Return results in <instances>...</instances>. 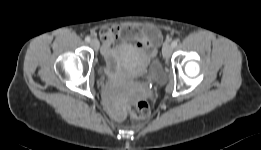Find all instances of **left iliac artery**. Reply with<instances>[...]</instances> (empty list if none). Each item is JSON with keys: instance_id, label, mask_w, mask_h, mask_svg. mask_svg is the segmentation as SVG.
Returning a JSON list of instances; mask_svg holds the SVG:
<instances>
[{"instance_id": "left-iliac-artery-1", "label": "left iliac artery", "mask_w": 261, "mask_h": 150, "mask_svg": "<svg viewBox=\"0 0 261 150\" xmlns=\"http://www.w3.org/2000/svg\"><path fill=\"white\" fill-rule=\"evenodd\" d=\"M171 46H172L173 48L176 47V46H177V41L174 40V41L171 43Z\"/></svg>"}]
</instances>
